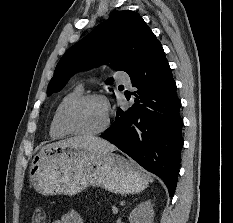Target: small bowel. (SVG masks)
<instances>
[{
    "label": "small bowel",
    "instance_id": "small-bowel-1",
    "mask_svg": "<svg viewBox=\"0 0 233 223\" xmlns=\"http://www.w3.org/2000/svg\"><path fill=\"white\" fill-rule=\"evenodd\" d=\"M54 223H84V220L79 212L72 209L63 213Z\"/></svg>",
    "mask_w": 233,
    "mask_h": 223
}]
</instances>
